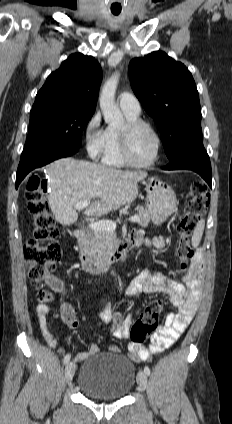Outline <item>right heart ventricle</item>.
<instances>
[{
  "label": "right heart ventricle",
  "instance_id": "obj_1",
  "mask_svg": "<svg viewBox=\"0 0 232 424\" xmlns=\"http://www.w3.org/2000/svg\"><path fill=\"white\" fill-rule=\"evenodd\" d=\"M127 121L138 119V116L124 112ZM118 129L108 127L106 129V145L102 156V163L107 166L122 167L127 165L120 151V143L118 136Z\"/></svg>",
  "mask_w": 232,
  "mask_h": 424
}]
</instances>
